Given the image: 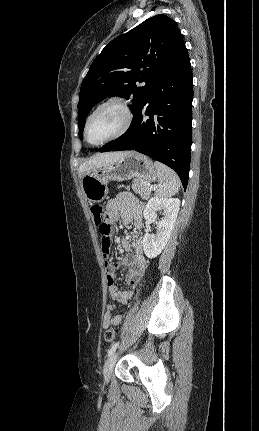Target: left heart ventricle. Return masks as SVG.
I'll return each mask as SVG.
<instances>
[{"label":"left heart ventricle","mask_w":259,"mask_h":431,"mask_svg":"<svg viewBox=\"0 0 259 431\" xmlns=\"http://www.w3.org/2000/svg\"><path fill=\"white\" fill-rule=\"evenodd\" d=\"M124 122V114L117 105L102 108L92 118L88 127V139L99 143L115 134Z\"/></svg>","instance_id":"b2bd125f"}]
</instances>
